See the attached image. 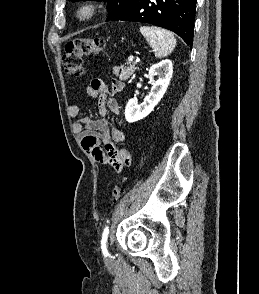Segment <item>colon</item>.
<instances>
[{"mask_svg": "<svg viewBox=\"0 0 259 294\" xmlns=\"http://www.w3.org/2000/svg\"><path fill=\"white\" fill-rule=\"evenodd\" d=\"M105 46L101 38H80L68 42L64 47L62 63L65 71L73 76L83 74V57L99 54ZM125 192L124 183L115 185L112 189L113 201L119 200Z\"/></svg>", "mask_w": 259, "mask_h": 294, "instance_id": "1", "label": "colon"}]
</instances>
